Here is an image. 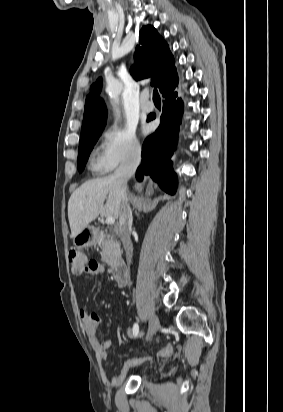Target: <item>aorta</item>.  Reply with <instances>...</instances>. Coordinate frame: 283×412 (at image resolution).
I'll use <instances>...</instances> for the list:
<instances>
[{
    "instance_id": "obj_1",
    "label": "aorta",
    "mask_w": 283,
    "mask_h": 412,
    "mask_svg": "<svg viewBox=\"0 0 283 412\" xmlns=\"http://www.w3.org/2000/svg\"><path fill=\"white\" fill-rule=\"evenodd\" d=\"M121 91V85L117 81H110L107 87V92L110 96V99L112 101L113 109L115 112V115L119 117L120 111H119V95Z\"/></svg>"
}]
</instances>
